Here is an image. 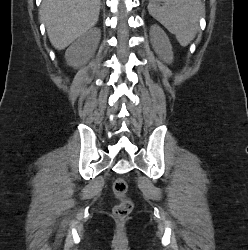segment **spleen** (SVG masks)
I'll return each mask as SVG.
<instances>
[{
  "label": "spleen",
  "mask_w": 248,
  "mask_h": 250,
  "mask_svg": "<svg viewBox=\"0 0 248 250\" xmlns=\"http://www.w3.org/2000/svg\"><path fill=\"white\" fill-rule=\"evenodd\" d=\"M148 11L185 47L196 36L203 7L201 0H150Z\"/></svg>",
  "instance_id": "1"
}]
</instances>
